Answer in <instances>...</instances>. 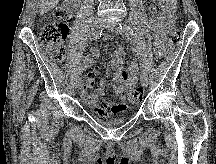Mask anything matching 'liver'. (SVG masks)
I'll return each instance as SVG.
<instances>
[{"label": "liver", "instance_id": "1", "mask_svg": "<svg viewBox=\"0 0 216 164\" xmlns=\"http://www.w3.org/2000/svg\"><path fill=\"white\" fill-rule=\"evenodd\" d=\"M60 0H40L39 11L40 14H44L53 9Z\"/></svg>", "mask_w": 216, "mask_h": 164}]
</instances>
